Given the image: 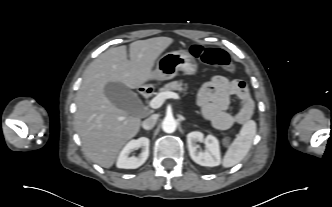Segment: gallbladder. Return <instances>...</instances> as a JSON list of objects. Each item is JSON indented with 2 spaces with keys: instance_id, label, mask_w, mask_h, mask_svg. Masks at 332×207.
I'll return each instance as SVG.
<instances>
[{
  "instance_id": "1",
  "label": "gallbladder",
  "mask_w": 332,
  "mask_h": 207,
  "mask_svg": "<svg viewBox=\"0 0 332 207\" xmlns=\"http://www.w3.org/2000/svg\"><path fill=\"white\" fill-rule=\"evenodd\" d=\"M106 97L116 107L126 112L137 115L141 101L136 93L120 82H109L104 88Z\"/></svg>"
}]
</instances>
